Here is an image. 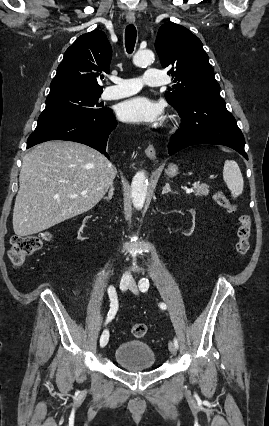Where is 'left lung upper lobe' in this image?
Masks as SVG:
<instances>
[{"label":"left lung upper lobe","instance_id":"obj_1","mask_svg":"<svg viewBox=\"0 0 269 426\" xmlns=\"http://www.w3.org/2000/svg\"><path fill=\"white\" fill-rule=\"evenodd\" d=\"M155 49L163 68L177 82L165 93L166 100L175 109L202 94H219L220 86L202 42L187 28L173 22L164 23L158 31Z\"/></svg>","mask_w":269,"mask_h":426}]
</instances>
